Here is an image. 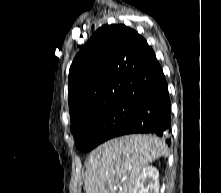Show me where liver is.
<instances>
[{
    "mask_svg": "<svg viewBox=\"0 0 221 193\" xmlns=\"http://www.w3.org/2000/svg\"><path fill=\"white\" fill-rule=\"evenodd\" d=\"M168 156L164 140L152 135L111 139L89 155L86 193H133L136 180L149 163Z\"/></svg>",
    "mask_w": 221,
    "mask_h": 193,
    "instance_id": "1",
    "label": "liver"
}]
</instances>
